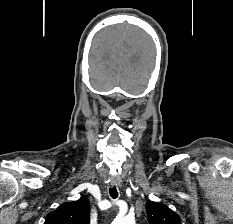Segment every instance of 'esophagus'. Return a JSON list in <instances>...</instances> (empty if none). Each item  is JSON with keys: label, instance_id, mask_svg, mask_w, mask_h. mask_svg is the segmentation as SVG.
Wrapping results in <instances>:
<instances>
[{"label": "esophagus", "instance_id": "obj_1", "mask_svg": "<svg viewBox=\"0 0 233 224\" xmlns=\"http://www.w3.org/2000/svg\"><path fill=\"white\" fill-rule=\"evenodd\" d=\"M110 184H111L112 187L113 186L121 187L122 182H121V179L118 176H113L110 179Z\"/></svg>", "mask_w": 233, "mask_h": 224}]
</instances>
